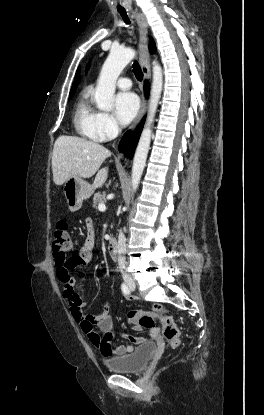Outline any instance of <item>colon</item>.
<instances>
[{"mask_svg":"<svg viewBox=\"0 0 264 415\" xmlns=\"http://www.w3.org/2000/svg\"><path fill=\"white\" fill-rule=\"evenodd\" d=\"M54 256L56 264H62L67 260V256L73 251V241L66 221H60L54 232ZM71 293V292H70ZM159 320L164 325V335L171 346L180 343V331L175 319L167 314H161ZM139 323L146 328H153L155 320L149 314L139 315Z\"/></svg>","mask_w":264,"mask_h":415,"instance_id":"obj_1","label":"colon"}]
</instances>
